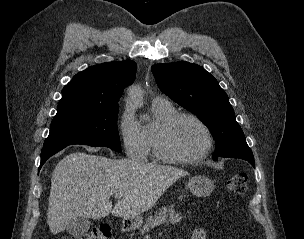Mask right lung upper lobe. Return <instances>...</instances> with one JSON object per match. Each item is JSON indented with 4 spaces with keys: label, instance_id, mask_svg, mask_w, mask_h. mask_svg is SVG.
<instances>
[{
    "label": "right lung upper lobe",
    "instance_id": "right-lung-upper-lobe-1",
    "mask_svg": "<svg viewBox=\"0 0 304 239\" xmlns=\"http://www.w3.org/2000/svg\"><path fill=\"white\" fill-rule=\"evenodd\" d=\"M135 73L136 63L132 60L91 66L63 88L57 112L118 105L124 87L134 81Z\"/></svg>",
    "mask_w": 304,
    "mask_h": 239
}]
</instances>
